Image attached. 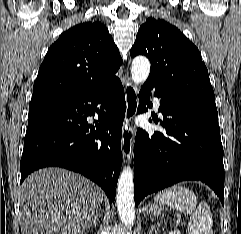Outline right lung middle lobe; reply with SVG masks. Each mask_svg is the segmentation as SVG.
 I'll return each mask as SVG.
<instances>
[{"label":"right lung middle lobe","mask_w":241,"mask_h":234,"mask_svg":"<svg viewBox=\"0 0 241 234\" xmlns=\"http://www.w3.org/2000/svg\"><path fill=\"white\" fill-rule=\"evenodd\" d=\"M43 105H48V104H43ZM43 105L29 106V109H33V108L40 107V106H43Z\"/></svg>","instance_id":"obj_1"}]
</instances>
